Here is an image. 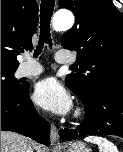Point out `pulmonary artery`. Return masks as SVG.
Masks as SVG:
<instances>
[{"instance_id": "obj_1", "label": "pulmonary artery", "mask_w": 123, "mask_h": 152, "mask_svg": "<svg viewBox=\"0 0 123 152\" xmlns=\"http://www.w3.org/2000/svg\"><path fill=\"white\" fill-rule=\"evenodd\" d=\"M26 61L20 65L17 70L19 77H34L42 73L43 67L35 60L31 59L28 55L25 56ZM56 62L60 64L72 63L75 57L66 52H58L56 54Z\"/></svg>"}]
</instances>
